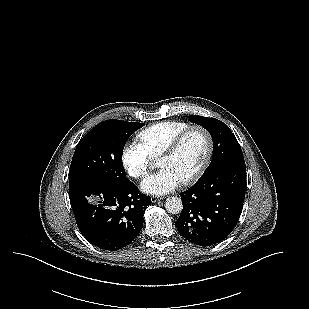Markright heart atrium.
Listing matches in <instances>:
<instances>
[{
    "instance_id": "obj_1",
    "label": "right heart atrium",
    "mask_w": 309,
    "mask_h": 309,
    "mask_svg": "<svg viewBox=\"0 0 309 309\" xmlns=\"http://www.w3.org/2000/svg\"><path fill=\"white\" fill-rule=\"evenodd\" d=\"M122 162L131 177L143 179L150 172L152 157L141 144L131 142L123 149Z\"/></svg>"
}]
</instances>
